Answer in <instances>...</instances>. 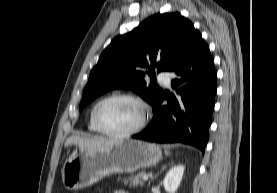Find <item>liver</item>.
<instances>
[{
    "mask_svg": "<svg viewBox=\"0 0 277 193\" xmlns=\"http://www.w3.org/2000/svg\"><path fill=\"white\" fill-rule=\"evenodd\" d=\"M115 142H117V140L113 138L71 136L65 141V147L78 145L81 148L101 149L106 148Z\"/></svg>",
    "mask_w": 277,
    "mask_h": 193,
    "instance_id": "6515ba94",
    "label": "liver"
}]
</instances>
